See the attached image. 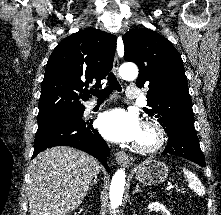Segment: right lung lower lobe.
Masks as SVG:
<instances>
[{"mask_svg":"<svg viewBox=\"0 0 221 215\" xmlns=\"http://www.w3.org/2000/svg\"><path fill=\"white\" fill-rule=\"evenodd\" d=\"M63 145L92 155L110 172L106 161L109 155L108 145L98 131L93 129L91 121H85L81 116L38 125L32 158L47 148Z\"/></svg>","mask_w":221,"mask_h":215,"instance_id":"98d812e1","label":"right lung lower lobe"}]
</instances>
